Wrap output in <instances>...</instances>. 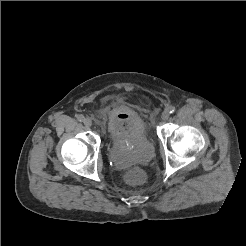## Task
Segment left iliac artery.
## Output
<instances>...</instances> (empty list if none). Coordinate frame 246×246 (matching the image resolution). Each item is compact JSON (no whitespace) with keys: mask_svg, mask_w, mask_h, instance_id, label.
<instances>
[{"mask_svg":"<svg viewBox=\"0 0 246 246\" xmlns=\"http://www.w3.org/2000/svg\"><path fill=\"white\" fill-rule=\"evenodd\" d=\"M167 111H168L170 114H172V113L175 111V107H174V106H169V107L167 108Z\"/></svg>","mask_w":246,"mask_h":246,"instance_id":"44dca946","label":"left iliac artery"}]
</instances>
